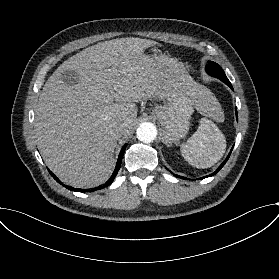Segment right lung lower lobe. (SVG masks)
<instances>
[{
    "label": "right lung lower lobe",
    "mask_w": 279,
    "mask_h": 279,
    "mask_svg": "<svg viewBox=\"0 0 279 279\" xmlns=\"http://www.w3.org/2000/svg\"><path fill=\"white\" fill-rule=\"evenodd\" d=\"M126 146H127V144H125V145L123 146V148L121 149L120 154H119V157H118V161H117V164H116V167H115V170H114L112 176L110 177V179H109L105 184L100 185V186L95 187V188L86 189V190H83V189H76V188H73V187L67 186V185H64V187H66L67 189L72 190V191H78V192H83V191H84V192H93V191L100 190V189H103V188L109 186V185L113 182V180L115 179V177H116V175H117V173H118V171H119V169H120L122 157H123V154H124V152H125ZM48 171H49V173L51 174V176H52L58 183L62 184L61 181H60L50 170H48Z\"/></svg>",
    "instance_id": "obj_1"
}]
</instances>
